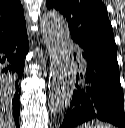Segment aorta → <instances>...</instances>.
<instances>
[{
    "mask_svg": "<svg viewBox=\"0 0 125 128\" xmlns=\"http://www.w3.org/2000/svg\"><path fill=\"white\" fill-rule=\"evenodd\" d=\"M40 28L50 56L49 106L62 113L71 103L75 87V64L66 20L57 11L42 15Z\"/></svg>",
    "mask_w": 125,
    "mask_h": 128,
    "instance_id": "762f6f07",
    "label": "aorta"
}]
</instances>
